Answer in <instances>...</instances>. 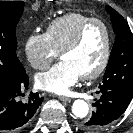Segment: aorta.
Returning <instances> with one entry per match:
<instances>
[{"label":"aorta","mask_w":133,"mask_h":133,"mask_svg":"<svg viewBox=\"0 0 133 133\" xmlns=\"http://www.w3.org/2000/svg\"><path fill=\"white\" fill-rule=\"evenodd\" d=\"M72 112L76 118L83 119L89 113V106L84 100H75L72 105Z\"/></svg>","instance_id":"aorta-1"}]
</instances>
